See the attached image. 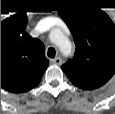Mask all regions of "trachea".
<instances>
[{"mask_svg": "<svg viewBox=\"0 0 115 114\" xmlns=\"http://www.w3.org/2000/svg\"><path fill=\"white\" fill-rule=\"evenodd\" d=\"M48 56L50 57V58H54L55 57V54H56V52H55V49L54 48H52V47H50L49 49H48Z\"/></svg>", "mask_w": 115, "mask_h": 114, "instance_id": "trachea-1", "label": "trachea"}]
</instances>
